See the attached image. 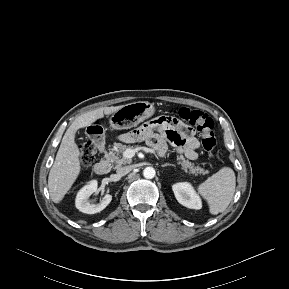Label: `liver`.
I'll return each mask as SVG.
<instances>
[{"label":"liver","instance_id":"liver-1","mask_svg":"<svg viewBox=\"0 0 289 289\" xmlns=\"http://www.w3.org/2000/svg\"><path fill=\"white\" fill-rule=\"evenodd\" d=\"M123 106V105H122ZM122 106L98 108L78 116L66 130L48 176V189L54 203H60L81 171L80 151L75 142L78 129L91 125Z\"/></svg>","mask_w":289,"mask_h":289}]
</instances>
